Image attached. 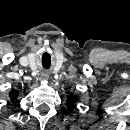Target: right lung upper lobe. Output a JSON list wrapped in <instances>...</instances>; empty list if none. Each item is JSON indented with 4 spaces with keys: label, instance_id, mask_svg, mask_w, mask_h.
<instances>
[{
    "label": "right lung upper lobe",
    "instance_id": "obj_1",
    "mask_svg": "<svg viewBox=\"0 0 130 130\" xmlns=\"http://www.w3.org/2000/svg\"><path fill=\"white\" fill-rule=\"evenodd\" d=\"M18 96H19V92L17 90H12L9 93V97L11 101H15Z\"/></svg>",
    "mask_w": 130,
    "mask_h": 130
}]
</instances>
